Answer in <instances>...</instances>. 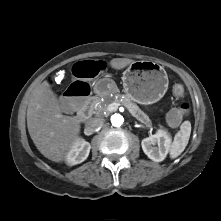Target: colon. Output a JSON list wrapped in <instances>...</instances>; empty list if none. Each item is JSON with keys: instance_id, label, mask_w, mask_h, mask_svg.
I'll return each instance as SVG.
<instances>
[{"instance_id": "1", "label": "colon", "mask_w": 221, "mask_h": 221, "mask_svg": "<svg viewBox=\"0 0 221 221\" xmlns=\"http://www.w3.org/2000/svg\"><path fill=\"white\" fill-rule=\"evenodd\" d=\"M71 71L76 78L58 102L59 107L70 115L88 106V97L94 92L96 80L103 76L104 68L100 62L78 59L72 63ZM173 93L179 97L183 96L185 94L184 86L181 83H175ZM189 110V104L183 103L168 114V122L173 126L178 125Z\"/></svg>"}]
</instances>
